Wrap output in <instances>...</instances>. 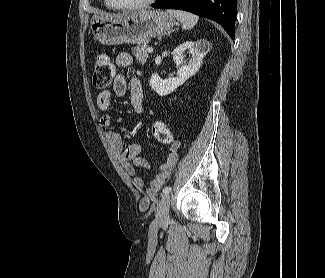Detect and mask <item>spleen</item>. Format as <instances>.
Listing matches in <instances>:
<instances>
[{"mask_svg":"<svg viewBox=\"0 0 325 278\" xmlns=\"http://www.w3.org/2000/svg\"><path fill=\"white\" fill-rule=\"evenodd\" d=\"M167 13L176 17L178 21L182 24L183 29L189 30L192 29L199 20L197 15L192 13L181 11V10H167Z\"/></svg>","mask_w":325,"mask_h":278,"instance_id":"spleen-1","label":"spleen"}]
</instances>
